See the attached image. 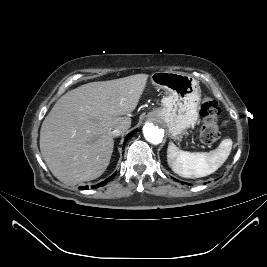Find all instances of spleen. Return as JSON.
I'll return each mask as SVG.
<instances>
[{
	"label": "spleen",
	"instance_id": "obj_1",
	"mask_svg": "<svg viewBox=\"0 0 267 267\" xmlns=\"http://www.w3.org/2000/svg\"><path fill=\"white\" fill-rule=\"evenodd\" d=\"M231 148V139H224L215 150L210 152L192 153L179 150L173 142H170L167 149V161L170 168L181 177H205L223 165Z\"/></svg>",
	"mask_w": 267,
	"mask_h": 267
}]
</instances>
